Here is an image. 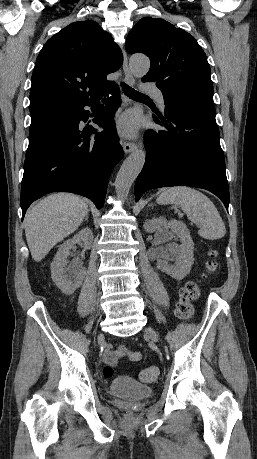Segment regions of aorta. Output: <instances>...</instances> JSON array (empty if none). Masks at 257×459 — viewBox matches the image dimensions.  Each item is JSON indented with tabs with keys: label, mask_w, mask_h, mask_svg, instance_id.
<instances>
[{
	"label": "aorta",
	"mask_w": 257,
	"mask_h": 459,
	"mask_svg": "<svg viewBox=\"0 0 257 459\" xmlns=\"http://www.w3.org/2000/svg\"><path fill=\"white\" fill-rule=\"evenodd\" d=\"M130 68L136 77L147 74L150 68V61L146 56L134 55L130 59ZM145 162V152L143 150L134 151L122 164L115 180L117 195L126 199L130 188L139 175Z\"/></svg>",
	"instance_id": "1"
}]
</instances>
